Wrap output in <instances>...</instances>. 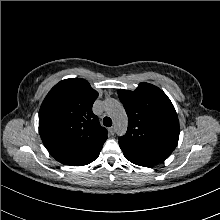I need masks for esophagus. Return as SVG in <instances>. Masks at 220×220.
Returning a JSON list of instances; mask_svg holds the SVG:
<instances>
[{"mask_svg":"<svg viewBox=\"0 0 220 220\" xmlns=\"http://www.w3.org/2000/svg\"><path fill=\"white\" fill-rule=\"evenodd\" d=\"M109 132H110V134L114 135V133H115V128H114V127H110V128H109Z\"/></svg>","mask_w":220,"mask_h":220,"instance_id":"1","label":"esophagus"}]
</instances>
